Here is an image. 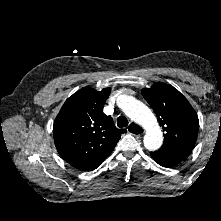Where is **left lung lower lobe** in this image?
Listing matches in <instances>:
<instances>
[{"instance_id":"obj_1","label":"left lung lower lobe","mask_w":221,"mask_h":221,"mask_svg":"<svg viewBox=\"0 0 221 221\" xmlns=\"http://www.w3.org/2000/svg\"><path fill=\"white\" fill-rule=\"evenodd\" d=\"M194 144H185L176 147H161L151 152V157L163 167H173L185 160L192 152Z\"/></svg>"}]
</instances>
